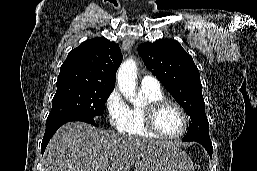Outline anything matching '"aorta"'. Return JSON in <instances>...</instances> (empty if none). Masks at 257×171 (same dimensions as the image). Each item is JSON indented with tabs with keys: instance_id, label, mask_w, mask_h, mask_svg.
Here are the masks:
<instances>
[{
	"instance_id": "762f6f07",
	"label": "aorta",
	"mask_w": 257,
	"mask_h": 171,
	"mask_svg": "<svg viewBox=\"0 0 257 171\" xmlns=\"http://www.w3.org/2000/svg\"><path fill=\"white\" fill-rule=\"evenodd\" d=\"M137 65L132 59L123 62L117 72V83L123 96L136 105L140 100L136 97Z\"/></svg>"
}]
</instances>
